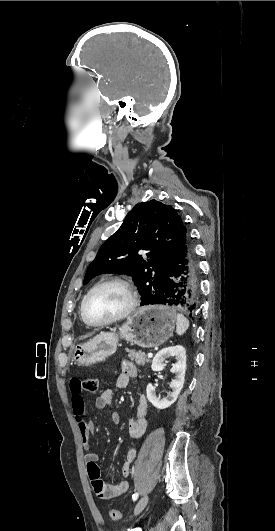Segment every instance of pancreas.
Returning a JSON list of instances; mask_svg holds the SVG:
<instances>
[{
  "label": "pancreas",
  "mask_w": 275,
  "mask_h": 531,
  "mask_svg": "<svg viewBox=\"0 0 275 531\" xmlns=\"http://www.w3.org/2000/svg\"><path fill=\"white\" fill-rule=\"evenodd\" d=\"M126 353H129L128 357L131 359V361H135L137 365H146V363H149L150 359H146L145 353H142V351H130V349H126Z\"/></svg>",
  "instance_id": "obj_1"
}]
</instances>
